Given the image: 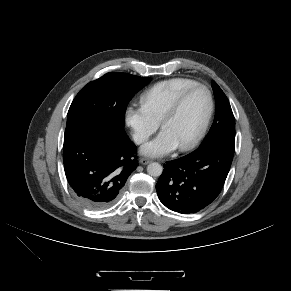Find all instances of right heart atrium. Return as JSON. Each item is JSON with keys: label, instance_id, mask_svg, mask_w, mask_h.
Returning <instances> with one entry per match:
<instances>
[{"label": "right heart atrium", "instance_id": "d8ad5b80", "mask_svg": "<svg viewBox=\"0 0 291 291\" xmlns=\"http://www.w3.org/2000/svg\"><path fill=\"white\" fill-rule=\"evenodd\" d=\"M124 120L138 144L144 143L159 127V122L142 105H128L124 111Z\"/></svg>", "mask_w": 291, "mask_h": 291}]
</instances>
